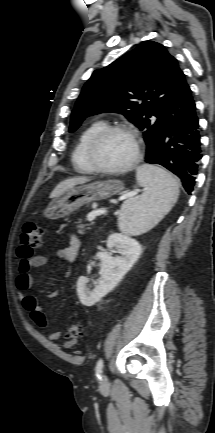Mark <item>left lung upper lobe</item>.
<instances>
[{"instance_id":"5c2ea615","label":"left lung upper lobe","mask_w":215,"mask_h":433,"mask_svg":"<svg viewBox=\"0 0 215 433\" xmlns=\"http://www.w3.org/2000/svg\"><path fill=\"white\" fill-rule=\"evenodd\" d=\"M184 81L177 60L163 45L148 41L92 74L75 104L69 132L92 114L121 113L143 130L149 156L165 111ZM154 116L156 121L150 119Z\"/></svg>"}]
</instances>
